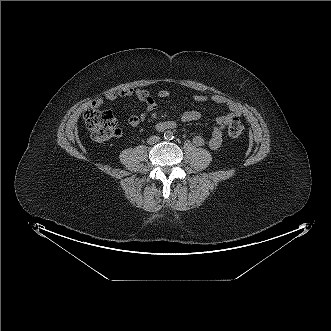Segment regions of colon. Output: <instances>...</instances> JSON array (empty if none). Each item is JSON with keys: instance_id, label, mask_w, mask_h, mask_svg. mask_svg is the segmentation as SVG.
<instances>
[{"instance_id": "1", "label": "colon", "mask_w": 331, "mask_h": 331, "mask_svg": "<svg viewBox=\"0 0 331 331\" xmlns=\"http://www.w3.org/2000/svg\"><path fill=\"white\" fill-rule=\"evenodd\" d=\"M87 128L91 136L98 142H105L120 134L118 122L110 110H100L89 107L83 114ZM244 132V125L238 118H234L228 126V133L232 137H238Z\"/></svg>"}]
</instances>
